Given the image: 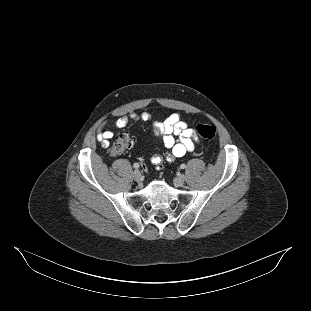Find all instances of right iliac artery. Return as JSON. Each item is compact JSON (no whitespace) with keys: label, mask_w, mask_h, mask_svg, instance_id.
Returning <instances> with one entry per match:
<instances>
[{"label":"right iliac artery","mask_w":311,"mask_h":311,"mask_svg":"<svg viewBox=\"0 0 311 311\" xmlns=\"http://www.w3.org/2000/svg\"><path fill=\"white\" fill-rule=\"evenodd\" d=\"M133 167H134L135 169H138V168H139V164H138V163H134V164H133Z\"/></svg>","instance_id":"right-iliac-artery-1"}]
</instances>
